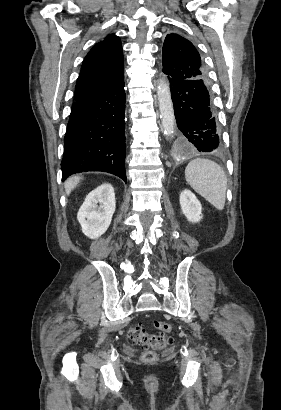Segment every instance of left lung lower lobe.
Here are the masks:
<instances>
[{
    "instance_id": "obj_1",
    "label": "left lung lower lobe",
    "mask_w": 281,
    "mask_h": 410,
    "mask_svg": "<svg viewBox=\"0 0 281 410\" xmlns=\"http://www.w3.org/2000/svg\"><path fill=\"white\" fill-rule=\"evenodd\" d=\"M168 79L183 144L199 152L218 150L221 142L207 81Z\"/></svg>"
}]
</instances>
